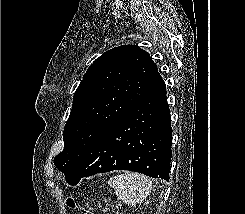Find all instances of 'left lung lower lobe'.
Returning a JSON list of instances; mask_svg holds the SVG:
<instances>
[{
    "mask_svg": "<svg viewBox=\"0 0 245 214\" xmlns=\"http://www.w3.org/2000/svg\"><path fill=\"white\" fill-rule=\"evenodd\" d=\"M172 129L166 85L117 119L66 175L70 185L82 177L129 170L169 181Z\"/></svg>",
    "mask_w": 245,
    "mask_h": 214,
    "instance_id": "left-lung-lower-lobe-1",
    "label": "left lung lower lobe"
}]
</instances>
